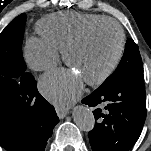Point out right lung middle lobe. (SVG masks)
Returning <instances> with one entry per match:
<instances>
[{"mask_svg":"<svg viewBox=\"0 0 151 151\" xmlns=\"http://www.w3.org/2000/svg\"><path fill=\"white\" fill-rule=\"evenodd\" d=\"M26 14L16 17L0 34V75L18 79L26 70L22 55L23 34ZM7 107L5 101L0 100V108Z\"/></svg>","mask_w":151,"mask_h":151,"instance_id":"obj_1","label":"right lung middle lobe"}]
</instances>
